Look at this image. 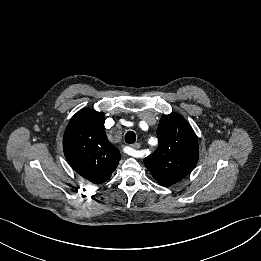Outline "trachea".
<instances>
[{
  "instance_id": "3493384b",
  "label": "trachea",
  "mask_w": 261,
  "mask_h": 261,
  "mask_svg": "<svg viewBox=\"0 0 261 261\" xmlns=\"http://www.w3.org/2000/svg\"><path fill=\"white\" fill-rule=\"evenodd\" d=\"M136 141V135L133 131H128L125 134V142L128 144H132Z\"/></svg>"
}]
</instances>
